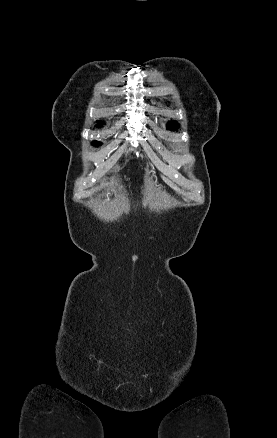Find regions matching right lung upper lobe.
<instances>
[{
  "label": "right lung upper lobe",
  "instance_id": "right-lung-upper-lobe-1",
  "mask_svg": "<svg viewBox=\"0 0 277 438\" xmlns=\"http://www.w3.org/2000/svg\"><path fill=\"white\" fill-rule=\"evenodd\" d=\"M99 124H103V122H98Z\"/></svg>",
  "mask_w": 277,
  "mask_h": 438
}]
</instances>
